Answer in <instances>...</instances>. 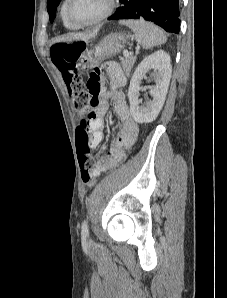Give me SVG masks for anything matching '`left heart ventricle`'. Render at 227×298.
Here are the masks:
<instances>
[{"label": "left heart ventricle", "mask_w": 227, "mask_h": 298, "mask_svg": "<svg viewBox=\"0 0 227 298\" xmlns=\"http://www.w3.org/2000/svg\"><path fill=\"white\" fill-rule=\"evenodd\" d=\"M106 0H72L69 11L76 22H87L99 16L105 9Z\"/></svg>", "instance_id": "1"}]
</instances>
